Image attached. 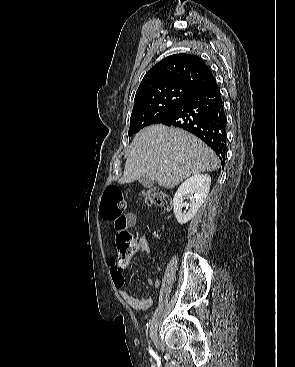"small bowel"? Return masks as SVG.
Listing matches in <instances>:
<instances>
[{"label": "small bowel", "instance_id": "c3829d8e", "mask_svg": "<svg viewBox=\"0 0 295 367\" xmlns=\"http://www.w3.org/2000/svg\"><path fill=\"white\" fill-rule=\"evenodd\" d=\"M136 223H137V218L134 213H127L122 216L120 221L114 222L116 245H118L119 235L122 232L126 231L128 228L133 227ZM141 245L150 254V248L145 239L141 241ZM107 265L109 267L112 281L115 287L117 288L120 296L122 297V299L124 300V302L127 305L139 311H146L147 309H149L152 306L153 299L151 297L139 299V298H136L130 295L125 290L126 280H125L123 273L120 271L115 258L113 257L109 258L107 260ZM147 284L150 286L158 287L160 283L158 279H153V280L149 279L147 280Z\"/></svg>", "mask_w": 295, "mask_h": 367}]
</instances>
